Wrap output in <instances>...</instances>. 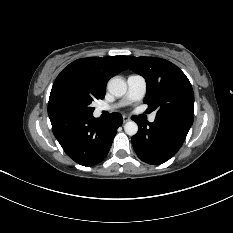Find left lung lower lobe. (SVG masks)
I'll use <instances>...</instances> for the list:
<instances>
[{
	"instance_id": "obj_1",
	"label": "left lung lower lobe",
	"mask_w": 233,
	"mask_h": 233,
	"mask_svg": "<svg viewBox=\"0 0 233 233\" xmlns=\"http://www.w3.org/2000/svg\"><path fill=\"white\" fill-rule=\"evenodd\" d=\"M139 126V131L132 137V145L137 156L144 162L158 165L166 162L182 146L190 124L180 120L156 116L153 123L132 118Z\"/></svg>"
}]
</instances>
